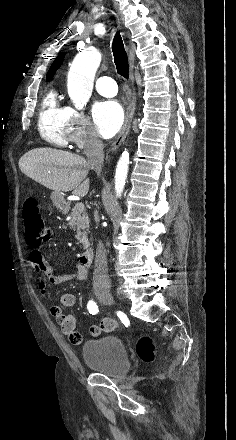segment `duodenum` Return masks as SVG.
<instances>
[{"label":"duodenum","instance_id":"1","mask_svg":"<svg viewBox=\"0 0 236 440\" xmlns=\"http://www.w3.org/2000/svg\"><path fill=\"white\" fill-rule=\"evenodd\" d=\"M93 250L91 248H87L81 255L80 263L83 268H89L92 265L93 261Z\"/></svg>","mask_w":236,"mask_h":440}]
</instances>
